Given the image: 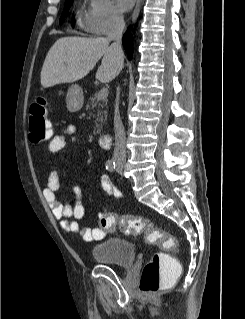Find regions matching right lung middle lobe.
Instances as JSON below:
<instances>
[{
	"mask_svg": "<svg viewBox=\"0 0 245 319\" xmlns=\"http://www.w3.org/2000/svg\"><path fill=\"white\" fill-rule=\"evenodd\" d=\"M72 2H73V0H66V2H65V8H64V11H63L62 16H64V15L68 12V10H69V8H70ZM60 23H62V17H61V19H60Z\"/></svg>",
	"mask_w": 245,
	"mask_h": 319,
	"instance_id": "1",
	"label": "right lung middle lobe"
}]
</instances>
